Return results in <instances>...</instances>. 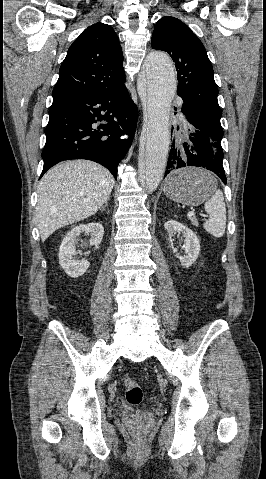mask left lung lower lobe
<instances>
[{
    "instance_id": "left-lung-lower-lobe-1",
    "label": "left lung lower lobe",
    "mask_w": 266,
    "mask_h": 479,
    "mask_svg": "<svg viewBox=\"0 0 266 479\" xmlns=\"http://www.w3.org/2000/svg\"><path fill=\"white\" fill-rule=\"evenodd\" d=\"M181 112L185 115L188 126L184 129V140L178 143L173 141L171 145L165 176L181 167L196 166L214 172L226 184L224 154L220 150V142L212 138L203 122L185 104Z\"/></svg>"
}]
</instances>
